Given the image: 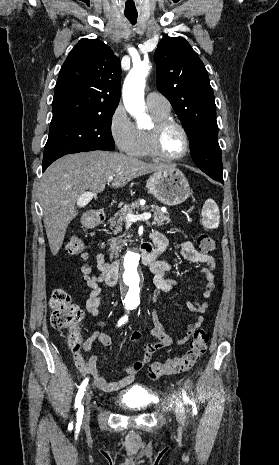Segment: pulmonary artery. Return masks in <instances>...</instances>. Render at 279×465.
<instances>
[{
  "label": "pulmonary artery",
  "mask_w": 279,
  "mask_h": 465,
  "mask_svg": "<svg viewBox=\"0 0 279 465\" xmlns=\"http://www.w3.org/2000/svg\"><path fill=\"white\" fill-rule=\"evenodd\" d=\"M146 106L164 112L170 111L171 108L168 99L158 92H150L147 94Z\"/></svg>",
  "instance_id": "pulmonary-artery-1"
}]
</instances>
